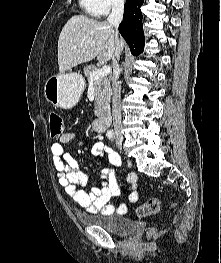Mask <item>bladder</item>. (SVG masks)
I'll use <instances>...</instances> for the list:
<instances>
[{
    "instance_id": "31cf9c89",
    "label": "bladder",
    "mask_w": 221,
    "mask_h": 263,
    "mask_svg": "<svg viewBox=\"0 0 221 263\" xmlns=\"http://www.w3.org/2000/svg\"><path fill=\"white\" fill-rule=\"evenodd\" d=\"M80 222L86 225L98 226L116 235H126L135 230L137 222L119 214L78 216Z\"/></svg>"
}]
</instances>
